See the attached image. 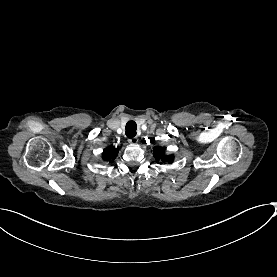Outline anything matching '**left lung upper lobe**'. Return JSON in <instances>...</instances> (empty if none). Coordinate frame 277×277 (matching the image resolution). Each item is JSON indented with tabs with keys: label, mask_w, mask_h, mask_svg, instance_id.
<instances>
[{
	"label": "left lung upper lobe",
	"mask_w": 277,
	"mask_h": 277,
	"mask_svg": "<svg viewBox=\"0 0 277 277\" xmlns=\"http://www.w3.org/2000/svg\"><path fill=\"white\" fill-rule=\"evenodd\" d=\"M153 153H154V156L155 158L158 160V161H162V162H168V163H172L173 162V156H167L166 153H165V149L163 147H159V146H156L153 148Z\"/></svg>",
	"instance_id": "obj_1"
}]
</instances>
